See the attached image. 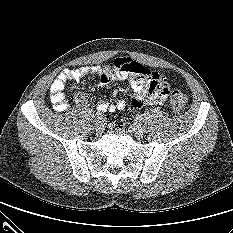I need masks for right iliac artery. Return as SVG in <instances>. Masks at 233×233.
I'll return each instance as SVG.
<instances>
[{
	"instance_id": "82829eb1",
	"label": "right iliac artery",
	"mask_w": 233,
	"mask_h": 233,
	"mask_svg": "<svg viewBox=\"0 0 233 233\" xmlns=\"http://www.w3.org/2000/svg\"><path fill=\"white\" fill-rule=\"evenodd\" d=\"M96 119L97 120H101L102 119V113L101 112H97L96 113Z\"/></svg>"
}]
</instances>
